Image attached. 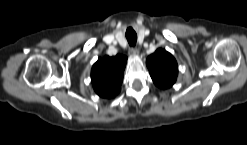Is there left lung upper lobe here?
Listing matches in <instances>:
<instances>
[{"label":"left lung upper lobe","instance_id":"obj_1","mask_svg":"<svg viewBox=\"0 0 247 145\" xmlns=\"http://www.w3.org/2000/svg\"><path fill=\"white\" fill-rule=\"evenodd\" d=\"M146 65L156 86L166 89L175 83L178 65L175 58L166 50L157 49L148 56Z\"/></svg>","mask_w":247,"mask_h":145}]
</instances>
